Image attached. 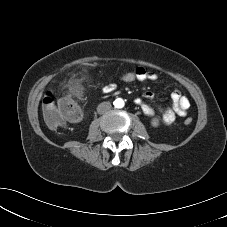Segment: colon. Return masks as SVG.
Here are the masks:
<instances>
[{
	"label": "colon",
	"instance_id": "obj_1",
	"mask_svg": "<svg viewBox=\"0 0 227 227\" xmlns=\"http://www.w3.org/2000/svg\"><path fill=\"white\" fill-rule=\"evenodd\" d=\"M118 79L122 83L130 84L138 81L139 75L136 69L127 70L121 72ZM42 112L45 122L53 129L64 126L67 121L75 122L81 117V109L72 98L63 97L56 100L52 92H47L44 96ZM191 122V117L185 118V124H191Z\"/></svg>",
	"mask_w": 227,
	"mask_h": 227
}]
</instances>
